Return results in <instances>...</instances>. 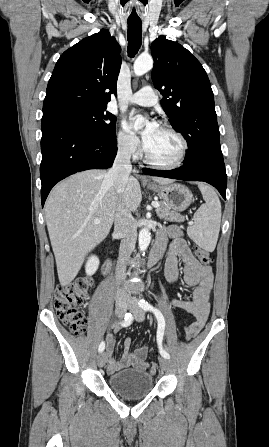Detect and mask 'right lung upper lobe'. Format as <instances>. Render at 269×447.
I'll return each instance as SVG.
<instances>
[{"instance_id": "right-lung-upper-lobe-1", "label": "right lung upper lobe", "mask_w": 269, "mask_h": 447, "mask_svg": "<svg viewBox=\"0 0 269 447\" xmlns=\"http://www.w3.org/2000/svg\"><path fill=\"white\" fill-rule=\"evenodd\" d=\"M121 48L101 30L65 51L48 82L43 115L64 106H104L116 95Z\"/></svg>"}]
</instances>
